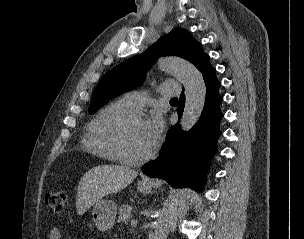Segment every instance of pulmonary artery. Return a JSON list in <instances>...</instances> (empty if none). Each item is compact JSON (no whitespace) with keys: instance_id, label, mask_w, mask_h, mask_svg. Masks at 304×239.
<instances>
[{"instance_id":"obj_1","label":"pulmonary artery","mask_w":304,"mask_h":239,"mask_svg":"<svg viewBox=\"0 0 304 239\" xmlns=\"http://www.w3.org/2000/svg\"><path fill=\"white\" fill-rule=\"evenodd\" d=\"M181 92L179 84L173 81H166L160 85V93L165 97H175ZM121 100L134 112L140 111L148 101V96L144 92L131 91L126 93Z\"/></svg>"}]
</instances>
